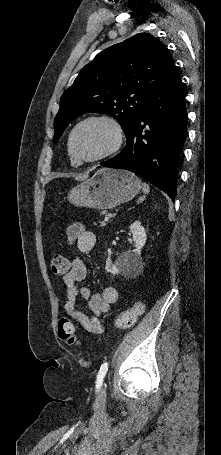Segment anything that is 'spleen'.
<instances>
[{"label":"spleen","mask_w":221,"mask_h":455,"mask_svg":"<svg viewBox=\"0 0 221 455\" xmlns=\"http://www.w3.org/2000/svg\"><path fill=\"white\" fill-rule=\"evenodd\" d=\"M149 191H150L149 185H147L146 183H144V184H143V192H144V194H145V195L148 194ZM144 198H145V196L140 197L139 200H138L137 202H138V203H139V202H142V201L144 200Z\"/></svg>","instance_id":"spleen-1"}]
</instances>
